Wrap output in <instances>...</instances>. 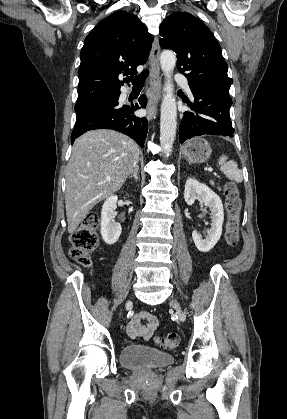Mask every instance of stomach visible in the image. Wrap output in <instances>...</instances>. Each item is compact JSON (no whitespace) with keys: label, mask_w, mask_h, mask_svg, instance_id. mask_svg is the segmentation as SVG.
Here are the masks:
<instances>
[{"label":"stomach","mask_w":287,"mask_h":419,"mask_svg":"<svg viewBox=\"0 0 287 419\" xmlns=\"http://www.w3.org/2000/svg\"><path fill=\"white\" fill-rule=\"evenodd\" d=\"M211 152L210 144L201 137H194L188 140L182 148V153L186 160L196 164L205 162L210 157Z\"/></svg>","instance_id":"obj_1"}]
</instances>
